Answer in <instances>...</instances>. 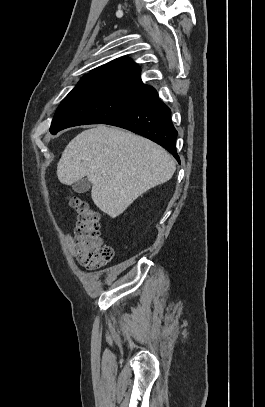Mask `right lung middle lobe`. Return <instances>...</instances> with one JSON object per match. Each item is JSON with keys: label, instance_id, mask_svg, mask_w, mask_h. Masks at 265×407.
I'll return each mask as SVG.
<instances>
[{"label": "right lung middle lobe", "instance_id": "dd1d6c3e", "mask_svg": "<svg viewBox=\"0 0 265 407\" xmlns=\"http://www.w3.org/2000/svg\"><path fill=\"white\" fill-rule=\"evenodd\" d=\"M156 90L136 82L101 76H84L63 99L50 132L77 125L104 123L142 103Z\"/></svg>", "mask_w": 265, "mask_h": 407}]
</instances>
